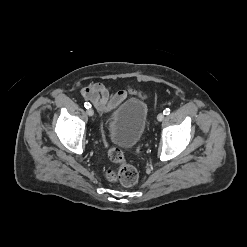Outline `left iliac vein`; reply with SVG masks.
<instances>
[{
  "instance_id": "4c4485c4",
  "label": "left iliac vein",
  "mask_w": 247,
  "mask_h": 247,
  "mask_svg": "<svg viewBox=\"0 0 247 247\" xmlns=\"http://www.w3.org/2000/svg\"><path fill=\"white\" fill-rule=\"evenodd\" d=\"M164 119V114L163 113H159L157 116V120L158 121H162Z\"/></svg>"
}]
</instances>
